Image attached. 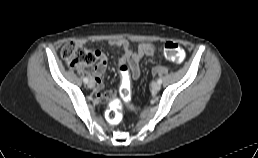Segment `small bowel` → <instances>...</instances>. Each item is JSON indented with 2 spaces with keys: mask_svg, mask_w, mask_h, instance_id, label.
Returning a JSON list of instances; mask_svg holds the SVG:
<instances>
[{
  "mask_svg": "<svg viewBox=\"0 0 258 158\" xmlns=\"http://www.w3.org/2000/svg\"><path fill=\"white\" fill-rule=\"evenodd\" d=\"M111 47L121 48L124 50V55L121 58V63L125 62L129 65L131 70V76L133 79H137L140 75L139 62L144 56L153 58L156 54V47L151 42L140 43L136 49H132L130 43L126 39H112L109 41ZM97 65L90 74L93 76L94 86H96L95 96L98 99L107 101L112 99V94L103 93L102 88L104 85V74L107 69V57L100 51L94 52Z\"/></svg>",
  "mask_w": 258,
  "mask_h": 158,
  "instance_id": "1",
  "label": "small bowel"
}]
</instances>
